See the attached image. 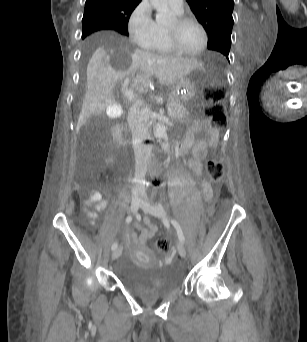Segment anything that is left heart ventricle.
<instances>
[{
    "instance_id": "b2bd125f",
    "label": "left heart ventricle",
    "mask_w": 307,
    "mask_h": 342,
    "mask_svg": "<svg viewBox=\"0 0 307 342\" xmlns=\"http://www.w3.org/2000/svg\"><path fill=\"white\" fill-rule=\"evenodd\" d=\"M174 30L173 21L164 31ZM175 40L178 45L187 52L198 51L204 41L201 27L195 22H187L174 31Z\"/></svg>"
}]
</instances>
